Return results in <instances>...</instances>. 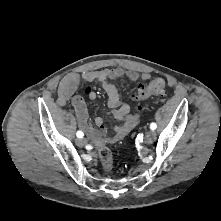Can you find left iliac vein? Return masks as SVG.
<instances>
[{
    "label": "left iliac vein",
    "instance_id": "4c4485c4",
    "mask_svg": "<svg viewBox=\"0 0 221 221\" xmlns=\"http://www.w3.org/2000/svg\"><path fill=\"white\" fill-rule=\"evenodd\" d=\"M156 139V133L154 131H149L145 135V142L151 144Z\"/></svg>",
    "mask_w": 221,
    "mask_h": 221
}]
</instances>
